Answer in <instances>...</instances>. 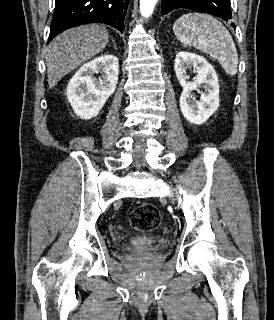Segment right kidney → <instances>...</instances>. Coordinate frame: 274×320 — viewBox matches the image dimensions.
<instances>
[{"instance_id": "1", "label": "right kidney", "mask_w": 274, "mask_h": 320, "mask_svg": "<svg viewBox=\"0 0 274 320\" xmlns=\"http://www.w3.org/2000/svg\"><path fill=\"white\" fill-rule=\"evenodd\" d=\"M93 74H101L99 80ZM119 76V60L113 54H101L83 64L71 78L66 96L74 114L81 120L96 118L109 96L114 94Z\"/></svg>"}]
</instances>
